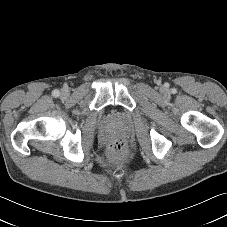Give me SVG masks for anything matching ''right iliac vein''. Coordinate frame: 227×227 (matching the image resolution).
<instances>
[{"label":"right iliac vein","mask_w":227,"mask_h":227,"mask_svg":"<svg viewBox=\"0 0 227 227\" xmlns=\"http://www.w3.org/2000/svg\"><path fill=\"white\" fill-rule=\"evenodd\" d=\"M67 95V90L62 91V96H66Z\"/></svg>","instance_id":"obj_1"}]
</instances>
